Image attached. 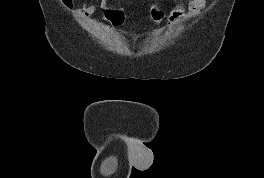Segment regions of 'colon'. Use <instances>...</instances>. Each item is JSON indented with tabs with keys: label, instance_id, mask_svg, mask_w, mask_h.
<instances>
[{
	"label": "colon",
	"instance_id": "colon-1",
	"mask_svg": "<svg viewBox=\"0 0 264 178\" xmlns=\"http://www.w3.org/2000/svg\"><path fill=\"white\" fill-rule=\"evenodd\" d=\"M63 2L67 5L71 4V0H63ZM104 17L106 22L114 28L122 26L127 18L124 9L115 6H110L104 12ZM165 17V11L160 6L154 5L150 10L148 20L153 25H158L165 19Z\"/></svg>",
	"mask_w": 264,
	"mask_h": 178
}]
</instances>
